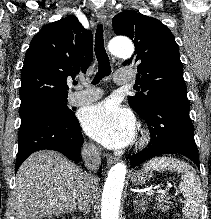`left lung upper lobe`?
<instances>
[{"mask_svg": "<svg viewBox=\"0 0 211 219\" xmlns=\"http://www.w3.org/2000/svg\"><path fill=\"white\" fill-rule=\"evenodd\" d=\"M112 22L117 35L135 44L134 56L123 63L138 70L136 90L141 92L129 96L131 108L143 116L158 99L186 98L183 66L171 31L159 20L133 11L117 14Z\"/></svg>", "mask_w": 211, "mask_h": 219, "instance_id": "left-lung-upper-lobe-1", "label": "left lung upper lobe"}]
</instances>
